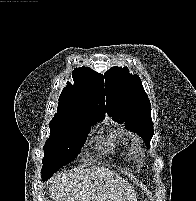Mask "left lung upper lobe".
<instances>
[{"label":"left lung upper lobe","instance_id":"obj_1","mask_svg":"<svg viewBox=\"0 0 196 201\" xmlns=\"http://www.w3.org/2000/svg\"><path fill=\"white\" fill-rule=\"evenodd\" d=\"M107 112L140 135L148 148L153 137L151 104L138 75L127 67H112L105 75Z\"/></svg>","mask_w":196,"mask_h":201}]
</instances>
